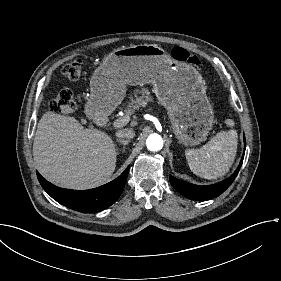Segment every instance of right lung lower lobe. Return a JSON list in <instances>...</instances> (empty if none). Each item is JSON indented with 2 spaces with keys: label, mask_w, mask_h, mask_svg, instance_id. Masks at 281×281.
I'll return each mask as SVG.
<instances>
[{
  "label": "right lung lower lobe",
  "mask_w": 281,
  "mask_h": 281,
  "mask_svg": "<svg viewBox=\"0 0 281 281\" xmlns=\"http://www.w3.org/2000/svg\"><path fill=\"white\" fill-rule=\"evenodd\" d=\"M129 167L115 180L90 190H69L59 188L46 181L38 172L43 189L58 203L83 213H93L111 206L121 195L128 176Z\"/></svg>",
  "instance_id": "obj_1"
}]
</instances>
